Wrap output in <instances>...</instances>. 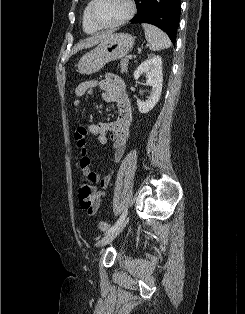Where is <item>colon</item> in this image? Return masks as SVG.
<instances>
[{"label":"colon","instance_id":"1","mask_svg":"<svg viewBox=\"0 0 245 314\" xmlns=\"http://www.w3.org/2000/svg\"><path fill=\"white\" fill-rule=\"evenodd\" d=\"M78 198L80 207L88 213H91L93 211L96 199V191L94 185L88 182L81 183L78 188ZM98 228L102 232H105L110 228V224L104 221H100L98 223Z\"/></svg>","mask_w":245,"mask_h":314}]
</instances>
